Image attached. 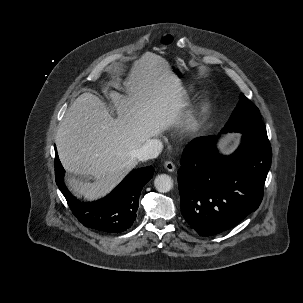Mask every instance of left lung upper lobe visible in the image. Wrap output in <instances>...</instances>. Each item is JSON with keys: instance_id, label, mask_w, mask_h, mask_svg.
I'll return each instance as SVG.
<instances>
[{"instance_id": "5c2ea615", "label": "left lung upper lobe", "mask_w": 303, "mask_h": 303, "mask_svg": "<svg viewBox=\"0 0 303 303\" xmlns=\"http://www.w3.org/2000/svg\"><path fill=\"white\" fill-rule=\"evenodd\" d=\"M233 131L249 134L260 141L269 142L259 109L244 94L240 95L239 103L221 133Z\"/></svg>"}]
</instances>
